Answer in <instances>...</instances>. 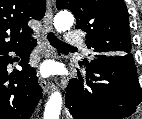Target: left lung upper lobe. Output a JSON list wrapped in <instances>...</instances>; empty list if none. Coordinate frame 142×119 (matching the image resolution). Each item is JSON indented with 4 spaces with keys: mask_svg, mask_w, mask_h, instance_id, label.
Returning <instances> with one entry per match:
<instances>
[{
    "mask_svg": "<svg viewBox=\"0 0 142 119\" xmlns=\"http://www.w3.org/2000/svg\"><path fill=\"white\" fill-rule=\"evenodd\" d=\"M56 7L69 9L74 14L75 27L86 32V45L96 53L95 57L132 56L128 13L123 0H57Z\"/></svg>",
    "mask_w": 142,
    "mask_h": 119,
    "instance_id": "1",
    "label": "left lung upper lobe"
}]
</instances>
